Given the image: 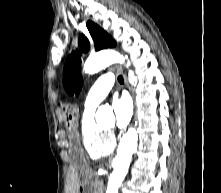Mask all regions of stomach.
Segmentation results:
<instances>
[{
	"label": "stomach",
	"instance_id": "1",
	"mask_svg": "<svg viewBox=\"0 0 221 193\" xmlns=\"http://www.w3.org/2000/svg\"><path fill=\"white\" fill-rule=\"evenodd\" d=\"M61 102L60 109L62 110L63 123H66L67 127H76L79 123V112L78 107L75 106V102ZM70 138H79V133H70ZM68 152L72 155L70 159V167H86L87 169H81L82 177H89L92 174L91 165L86 162L87 154H84V147H82V142H69ZM77 193H93V188L89 178H84L80 184Z\"/></svg>",
	"mask_w": 221,
	"mask_h": 193
}]
</instances>
